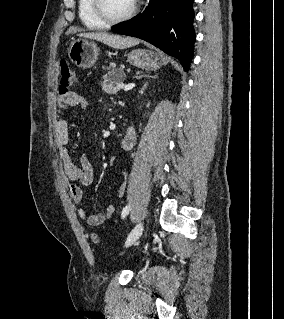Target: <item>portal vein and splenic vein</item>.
I'll list each match as a JSON object with an SVG mask.
<instances>
[{
  "label": "portal vein and splenic vein",
  "mask_w": 284,
  "mask_h": 319,
  "mask_svg": "<svg viewBox=\"0 0 284 319\" xmlns=\"http://www.w3.org/2000/svg\"><path fill=\"white\" fill-rule=\"evenodd\" d=\"M119 86L120 88L124 89V91H129L135 87V84L134 83H130L127 85L120 84Z\"/></svg>",
  "instance_id": "18ae733b"
}]
</instances>
